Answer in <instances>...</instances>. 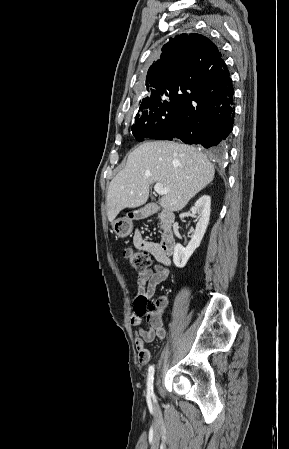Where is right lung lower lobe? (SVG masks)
<instances>
[{
    "instance_id": "1",
    "label": "right lung lower lobe",
    "mask_w": 289,
    "mask_h": 449,
    "mask_svg": "<svg viewBox=\"0 0 289 449\" xmlns=\"http://www.w3.org/2000/svg\"><path fill=\"white\" fill-rule=\"evenodd\" d=\"M178 109L173 122L153 139L179 138L187 144H201L219 153L233 128L234 88L227 66L205 81H189L178 86Z\"/></svg>"
}]
</instances>
